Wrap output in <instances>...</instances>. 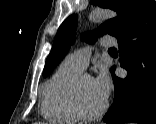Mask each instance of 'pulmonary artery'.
<instances>
[{"instance_id": "e3ab8cb5", "label": "pulmonary artery", "mask_w": 156, "mask_h": 124, "mask_svg": "<svg viewBox=\"0 0 156 124\" xmlns=\"http://www.w3.org/2000/svg\"><path fill=\"white\" fill-rule=\"evenodd\" d=\"M116 40L105 36L101 40V45L104 47H112L116 45ZM92 48L90 46H84L80 49L75 50L74 52L70 53L64 60V62L81 72L86 69L89 63V59L91 57Z\"/></svg>"}]
</instances>
